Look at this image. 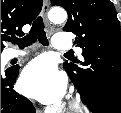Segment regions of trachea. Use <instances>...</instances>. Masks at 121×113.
<instances>
[{"label":"trachea","mask_w":121,"mask_h":113,"mask_svg":"<svg viewBox=\"0 0 121 113\" xmlns=\"http://www.w3.org/2000/svg\"><path fill=\"white\" fill-rule=\"evenodd\" d=\"M44 23L41 17H38L31 27V30L29 34L24 36L23 38H16L12 37L9 39V41L13 44H17L20 49H23L24 47H27L37 40L42 45H48V40L44 31ZM66 54H71V52H67Z\"/></svg>","instance_id":"obj_1"}]
</instances>
